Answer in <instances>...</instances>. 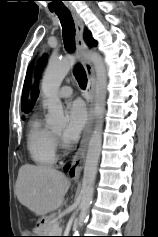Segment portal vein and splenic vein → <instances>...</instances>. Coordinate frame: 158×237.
Listing matches in <instances>:
<instances>
[{
	"label": "portal vein and splenic vein",
	"mask_w": 158,
	"mask_h": 237,
	"mask_svg": "<svg viewBox=\"0 0 158 237\" xmlns=\"http://www.w3.org/2000/svg\"><path fill=\"white\" fill-rule=\"evenodd\" d=\"M56 226L58 227V231L61 233L62 232V227H60L58 223H56Z\"/></svg>",
	"instance_id": "obj_1"
}]
</instances>
